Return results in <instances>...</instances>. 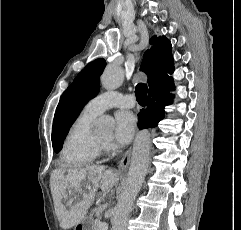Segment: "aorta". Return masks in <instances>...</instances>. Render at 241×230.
<instances>
[{
    "label": "aorta",
    "mask_w": 241,
    "mask_h": 230,
    "mask_svg": "<svg viewBox=\"0 0 241 230\" xmlns=\"http://www.w3.org/2000/svg\"><path fill=\"white\" fill-rule=\"evenodd\" d=\"M124 80V72L120 66H109L101 75V85L106 90L117 89ZM114 119L102 116L96 121V130L102 134H109L114 128ZM151 151L150 134L141 131L135 139L130 168L123 191L114 208L111 230H126L128 216L133 203L139 193L147 174Z\"/></svg>",
    "instance_id": "762f6f07"
}]
</instances>
